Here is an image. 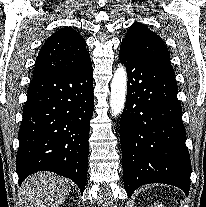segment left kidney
<instances>
[{
    "mask_svg": "<svg viewBox=\"0 0 206 207\" xmlns=\"http://www.w3.org/2000/svg\"><path fill=\"white\" fill-rule=\"evenodd\" d=\"M152 207H164V206L162 204H159V203L156 204L155 203L154 206H152Z\"/></svg>",
    "mask_w": 206,
    "mask_h": 207,
    "instance_id": "obj_1",
    "label": "left kidney"
}]
</instances>
